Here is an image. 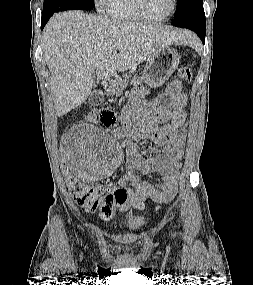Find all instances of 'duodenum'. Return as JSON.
<instances>
[{
    "mask_svg": "<svg viewBox=\"0 0 253 285\" xmlns=\"http://www.w3.org/2000/svg\"><path fill=\"white\" fill-rule=\"evenodd\" d=\"M103 87L106 89V90H111L112 89V83L110 80H104L103 81ZM101 100V95L99 93H95L92 97H91V101L93 104H97L99 103Z\"/></svg>",
    "mask_w": 253,
    "mask_h": 285,
    "instance_id": "410a0bca",
    "label": "duodenum"
}]
</instances>
